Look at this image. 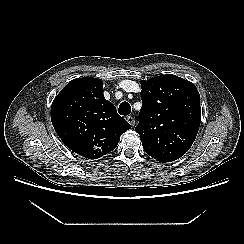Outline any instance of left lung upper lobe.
<instances>
[{
	"label": "left lung upper lobe",
	"instance_id": "1",
	"mask_svg": "<svg viewBox=\"0 0 244 244\" xmlns=\"http://www.w3.org/2000/svg\"><path fill=\"white\" fill-rule=\"evenodd\" d=\"M142 108L135 131L145 152L159 162L182 157L192 146L201 121L196 86L173 74L141 81Z\"/></svg>",
	"mask_w": 244,
	"mask_h": 244
}]
</instances>
